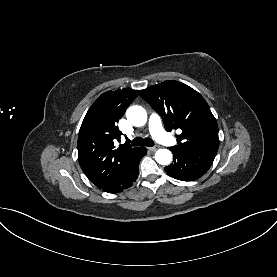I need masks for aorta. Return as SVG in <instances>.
I'll use <instances>...</instances> for the list:
<instances>
[{
	"label": "aorta",
	"mask_w": 277,
	"mask_h": 277,
	"mask_svg": "<svg viewBox=\"0 0 277 277\" xmlns=\"http://www.w3.org/2000/svg\"><path fill=\"white\" fill-rule=\"evenodd\" d=\"M127 120L133 126H143L147 121V113L141 106H131L126 111ZM155 160L161 165H168L172 161V153L168 149H159L155 153Z\"/></svg>",
	"instance_id": "aorta-1"
}]
</instances>
